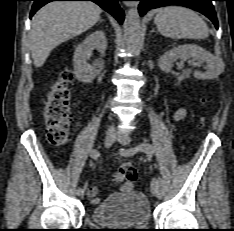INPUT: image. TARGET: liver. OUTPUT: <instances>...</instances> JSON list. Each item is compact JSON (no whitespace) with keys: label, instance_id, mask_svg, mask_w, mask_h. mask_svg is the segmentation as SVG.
<instances>
[{"label":"liver","instance_id":"obj_1","mask_svg":"<svg viewBox=\"0 0 234 231\" xmlns=\"http://www.w3.org/2000/svg\"><path fill=\"white\" fill-rule=\"evenodd\" d=\"M101 8L93 2H51L33 17L29 35L35 67H41L50 52L61 43L93 27Z\"/></svg>","mask_w":234,"mask_h":231}]
</instances>
